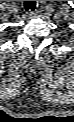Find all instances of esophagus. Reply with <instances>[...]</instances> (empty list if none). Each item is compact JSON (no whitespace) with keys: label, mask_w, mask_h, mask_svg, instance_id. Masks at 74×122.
<instances>
[{"label":"esophagus","mask_w":74,"mask_h":122,"mask_svg":"<svg viewBox=\"0 0 74 122\" xmlns=\"http://www.w3.org/2000/svg\"><path fill=\"white\" fill-rule=\"evenodd\" d=\"M38 15H39V12L38 11H30L28 13L29 18H37Z\"/></svg>","instance_id":"obj_1"}]
</instances>
